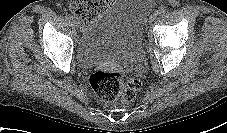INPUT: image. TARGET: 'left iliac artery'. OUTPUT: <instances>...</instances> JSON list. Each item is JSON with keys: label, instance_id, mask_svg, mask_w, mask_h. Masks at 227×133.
<instances>
[{"label": "left iliac artery", "instance_id": "44dca946", "mask_svg": "<svg viewBox=\"0 0 227 133\" xmlns=\"http://www.w3.org/2000/svg\"><path fill=\"white\" fill-rule=\"evenodd\" d=\"M155 14L156 15H159V16L164 15L165 14V10L162 9V8H160V9H158V10L155 11Z\"/></svg>", "mask_w": 227, "mask_h": 133}]
</instances>
